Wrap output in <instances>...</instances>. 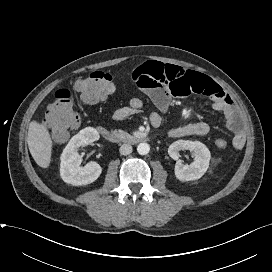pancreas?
<instances>
[{"label":"pancreas","instance_id":"1","mask_svg":"<svg viewBox=\"0 0 272 272\" xmlns=\"http://www.w3.org/2000/svg\"><path fill=\"white\" fill-rule=\"evenodd\" d=\"M112 133H113V135H115L119 139L126 140V139L131 138V136L123 130H118V131L114 130V131H112Z\"/></svg>","mask_w":272,"mask_h":272}]
</instances>
